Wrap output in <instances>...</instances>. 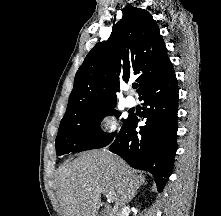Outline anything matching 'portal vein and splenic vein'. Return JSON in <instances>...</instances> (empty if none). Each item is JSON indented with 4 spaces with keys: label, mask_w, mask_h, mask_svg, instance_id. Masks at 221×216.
<instances>
[{
    "label": "portal vein and splenic vein",
    "mask_w": 221,
    "mask_h": 216,
    "mask_svg": "<svg viewBox=\"0 0 221 216\" xmlns=\"http://www.w3.org/2000/svg\"><path fill=\"white\" fill-rule=\"evenodd\" d=\"M107 199L111 201V199L113 198L112 194H107L106 195Z\"/></svg>",
    "instance_id": "portal-vein-and-splenic-vein-1"
}]
</instances>
